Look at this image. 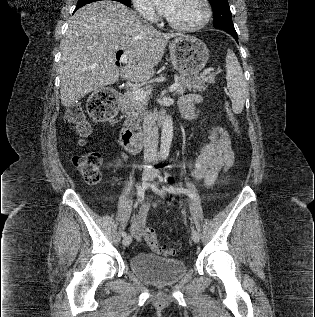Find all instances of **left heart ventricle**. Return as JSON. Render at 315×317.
Wrapping results in <instances>:
<instances>
[{
	"label": "left heart ventricle",
	"mask_w": 315,
	"mask_h": 317,
	"mask_svg": "<svg viewBox=\"0 0 315 317\" xmlns=\"http://www.w3.org/2000/svg\"><path fill=\"white\" fill-rule=\"evenodd\" d=\"M204 13L201 0H173L167 16L178 24L191 25L200 22Z\"/></svg>",
	"instance_id": "b2bd125f"
}]
</instances>
